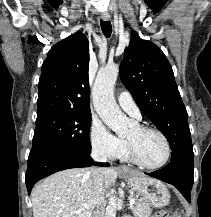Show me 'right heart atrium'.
Wrapping results in <instances>:
<instances>
[{
  "label": "right heart atrium",
  "instance_id": "right-heart-atrium-1",
  "mask_svg": "<svg viewBox=\"0 0 211 217\" xmlns=\"http://www.w3.org/2000/svg\"><path fill=\"white\" fill-rule=\"evenodd\" d=\"M90 141L96 153L109 159L120 157L126 148L124 140L113 135L98 121L91 124Z\"/></svg>",
  "mask_w": 211,
  "mask_h": 217
}]
</instances>
